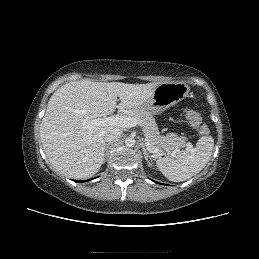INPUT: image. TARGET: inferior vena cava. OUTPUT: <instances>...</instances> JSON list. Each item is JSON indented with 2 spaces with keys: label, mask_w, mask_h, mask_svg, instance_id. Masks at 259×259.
Wrapping results in <instances>:
<instances>
[{
  "label": "inferior vena cava",
  "mask_w": 259,
  "mask_h": 259,
  "mask_svg": "<svg viewBox=\"0 0 259 259\" xmlns=\"http://www.w3.org/2000/svg\"><path fill=\"white\" fill-rule=\"evenodd\" d=\"M122 135V131L119 128H110L104 134L105 142L111 143L117 140Z\"/></svg>",
  "instance_id": "602c4592"
}]
</instances>
